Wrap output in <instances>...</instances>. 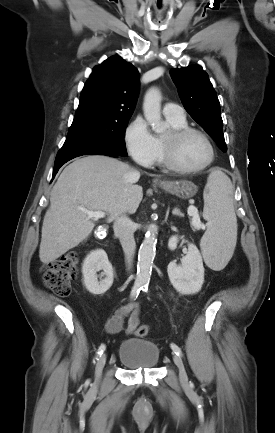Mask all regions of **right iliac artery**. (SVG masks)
I'll use <instances>...</instances> for the list:
<instances>
[{
  "label": "right iliac artery",
  "mask_w": 275,
  "mask_h": 433,
  "mask_svg": "<svg viewBox=\"0 0 275 433\" xmlns=\"http://www.w3.org/2000/svg\"><path fill=\"white\" fill-rule=\"evenodd\" d=\"M142 288L143 287H141L140 285H134L132 290H131V298L132 299L137 298V296H138V294ZM105 349H106V346L104 344H101L97 350L95 359H97L99 356H101L103 354V352L105 351Z\"/></svg>",
  "instance_id": "right-iliac-artery-1"
}]
</instances>
